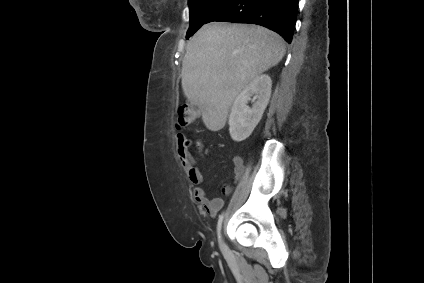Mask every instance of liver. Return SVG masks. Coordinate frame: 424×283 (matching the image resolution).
I'll return each mask as SVG.
<instances>
[{
  "instance_id": "1",
  "label": "liver",
  "mask_w": 424,
  "mask_h": 283,
  "mask_svg": "<svg viewBox=\"0 0 424 283\" xmlns=\"http://www.w3.org/2000/svg\"><path fill=\"white\" fill-rule=\"evenodd\" d=\"M285 44L274 31L254 24L213 22L203 25L187 44L182 89L200 110L205 126L222 129L229 110L255 77L277 65Z\"/></svg>"
}]
</instances>
